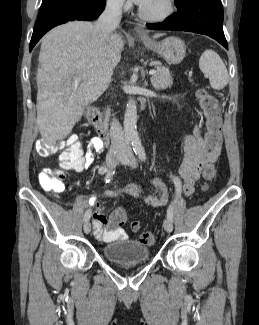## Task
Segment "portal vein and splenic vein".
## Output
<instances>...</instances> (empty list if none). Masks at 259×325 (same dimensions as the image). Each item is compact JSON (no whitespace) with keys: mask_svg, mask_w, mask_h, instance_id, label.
<instances>
[{"mask_svg":"<svg viewBox=\"0 0 259 325\" xmlns=\"http://www.w3.org/2000/svg\"><path fill=\"white\" fill-rule=\"evenodd\" d=\"M156 73V70L152 69L149 71V75H154ZM81 82V78L77 77L74 79L75 84H79Z\"/></svg>","mask_w":259,"mask_h":325,"instance_id":"18ae733b","label":"portal vein and splenic vein"}]
</instances>
